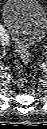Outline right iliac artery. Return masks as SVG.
<instances>
[{"label":"right iliac artery","mask_w":47,"mask_h":129,"mask_svg":"<svg viewBox=\"0 0 47 129\" xmlns=\"http://www.w3.org/2000/svg\"><path fill=\"white\" fill-rule=\"evenodd\" d=\"M0 37H1V41L4 42L6 40H8V38L6 37V34L4 32V29L2 28V26L0 27Z\"/></svg>","instance_id":"82829eb1"}]
</instances>
